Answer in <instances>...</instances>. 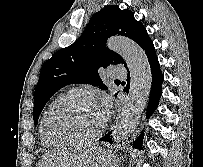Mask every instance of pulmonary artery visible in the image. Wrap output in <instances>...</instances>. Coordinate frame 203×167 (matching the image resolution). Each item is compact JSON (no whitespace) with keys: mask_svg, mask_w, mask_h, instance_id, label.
<instances>
[{"mask_svg":"<svg viewBox=\"0 0 203 167\" xmlns=\"http://www.w3.org/2000/svg\"><path fill=\"white\" fill-rule=\"evenodd\" d=\"M109 75L115 78H124L126 70L121 66H110L108 69Z\"/></svg>","mask_w":203,"mask_h":167,"instance_id":"1","label":"pulmonary artery"}]
</instances>
